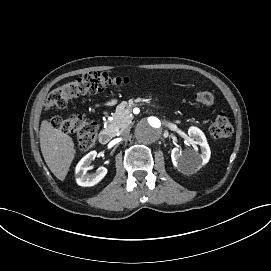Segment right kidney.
Segmentation results:
<instances>
[{"label": "right kidney", "mask_w": 271, "mask_h": 271, "mask_svg": "<svg viewBox=\"0 0 271 271\" xmlns=\"http://www.w3.org/2000/svg\"><path fill=\"white\" fill-rule=\"evenodd\" d=\"M97 156L96 151H91L85 155L77 164L75 173L77 175L76 182L80 186L88 187L94 186L100 182L107 174L105 167H99L95 173L88 174L87 171L90 169L91 162Z\"/></svg>", "instance_id": "ca27d5eb"}]
</instances>
